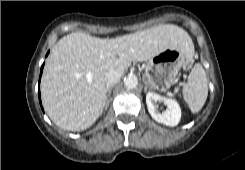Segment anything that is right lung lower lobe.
I'll return each instance as SVG.
<instances>
[{"label":"right lung lower lobe","mask_w":245,"mask_h":170,"mask_svg":"<svg viewBox=\"0 0 245 170\" xmlns=\"http://www.w3.org/2000/svg\"><path fill=\"white\" fill-rule=\"evenodd\" d=\"M44 66V65H43ZM43 66L41 67V74H42V71H43ZM39 82H40V80H39ZM39 101H40V103H41V99H40V90H39Z\"/></svg>","instance_id":"98d812e1"}]
</instances>
